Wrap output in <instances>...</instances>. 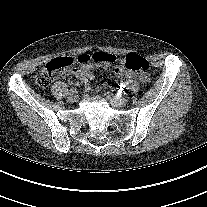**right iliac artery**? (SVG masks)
<instances>
[{
	"instance_id": "right-iliac-artery-1",
	"label": "right iliac artery",
	"mask_w": 207,
	"mask_h": 207,
	"mask_svg": "<svg viewBox=\"0 0 207 207\" xmlns=\"http://www.w3.org/2000/svg\"><path fill=\"white\" fill-rule=\"evenodd\" d=\"M75 91L76 90L74 88H71L67 94L68 95H73L75 93Z\"/></svg>"
}]
</instances>
